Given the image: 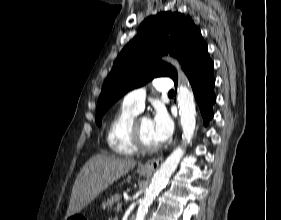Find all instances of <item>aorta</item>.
I'll return each instance as SVG.
<instances>
[{
    "mask_svg": "<svg viewBox=\"0 0 281 220\" xmlns=\"http://www.w3.org/2000/svg\"><path fill=\"white\" fill-rule=\"evenodd\" d=\"M171 63L179 68L176 61L172 60ZM177 102L183 130L182 137L184 141L189 143L195 131L196 109L193 92L183 84L178 87ZM183 155V148L177 147L160 166L152 179L149 189L145 193V197L138 207L135 220H144L148 208L176 170Z\"/></svg>",
    "mask_w": 281,
    "mask_h": 220,
    "instance_id": "762f6f07",
    "label": "aorta"
}]
</instances>
